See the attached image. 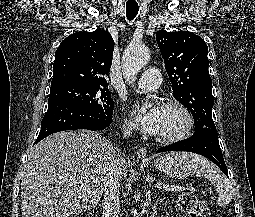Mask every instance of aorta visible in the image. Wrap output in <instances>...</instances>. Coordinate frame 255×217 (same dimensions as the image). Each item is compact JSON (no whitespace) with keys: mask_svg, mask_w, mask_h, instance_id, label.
Here are the masks:
<instances>
[{"mask_svg":"<svg viewBox=\"0 0 255 217\" xmlns=\"http://www.w3.org/2000/svg\"><path fill=\"white\" fill-rule=\"evenodd\" d=\"M150 59L148 48L142 45L130 44L122 56V69L126 81L132 83L135 76L144 67ZM147 104L141 108L145 112Z\"/></svg>","mask_w":255,"mask_h":217,"instance_id":"obj_1","label":"aorta"}]
</instances>
